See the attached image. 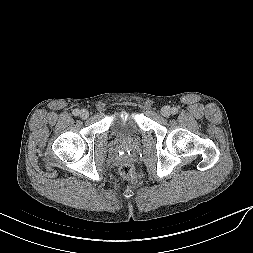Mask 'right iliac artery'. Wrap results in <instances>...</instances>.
<instances>
[{
    "instance_id": "obj_1",
    "label": "right iliac artery",
    "mask_w": 253,
    "mask_h": 253,
    "mask_svg": "<svg viewBox=\"0 0 253 253\" xmlns=\"http://www.w3.org/2000/svg\"><path fill=\"white\" fill-rule=\"evenodd\" d=\"M73 115L78 116L79 115V110L78 109H74L73 110Z\"/></svg>"
}]
</instances>
